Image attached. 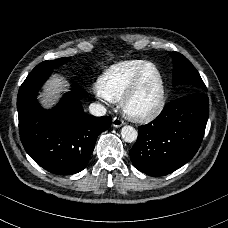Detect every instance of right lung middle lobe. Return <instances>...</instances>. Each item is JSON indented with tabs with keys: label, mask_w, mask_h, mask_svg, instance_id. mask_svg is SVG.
I'll return each mask as SVG.
<instances>
[{
	"label": "right lung middle lobe",
	"mask_w": 228,
	"mask_h": 228,
	"mask_svg": "<svg viewBox=\"0 0 228 228\" xmlns=\"http://www.w3.org/2000/svg\"><path fill=\"white\" fill-rule=\"evenodd\" d=\"M70 60V58H59L56 60H51V61H44L37 65L30 74L36 73V72H41V71H50L53 70L54 68L67 63Z\"/></svg>",
	"instance_id": "right-lung-middle-lobe-1"
}]
</instances>
